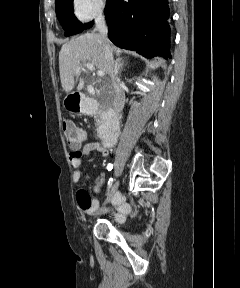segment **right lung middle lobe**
I'll return each instance as SVG.
<instances>
[{"label":"right lung middle lobe","mask_w":240,"mask_h":288,"mask_svg":"<svg viewBox=\"0 0 240 288\" xmlns=\"http://www.w3.org/2000/svg\"><path fill=\"white\" fill-rule=\"evenodd\" d=\"M72 7L73 0H56V14L65 30V36L77 34L91 24H80L73 13Z\"/></svg>","instance_id":"right-lung-middle-lobe-1"}]
</instances>
